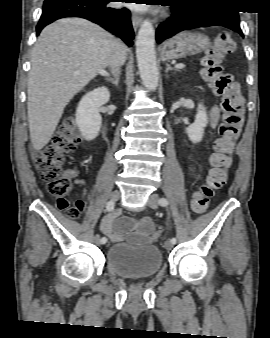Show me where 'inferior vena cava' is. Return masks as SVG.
<instances>
[{"mask_svg":"<svg viewBox=\"0 0 270 338\" xmlns=\"http://www.w3.org/2000/svg\"><path fill=\"white\" fill-rule=\"evenodd\" d=\"M125 59L126 51L122 46H119L112 52L109 58L108 65L111 67L112 73L119 71L120 66L123 65V63L125 62Z\"/></svg>","mask_w":270,"mask_h":338,"instance_id":"obj_1","label":"inferior vena cava"}]
</instances>
